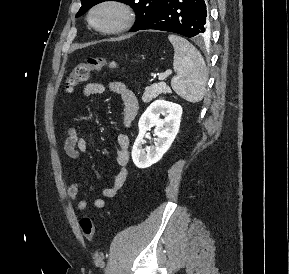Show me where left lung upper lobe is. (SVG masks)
I'll return each mask as SVG.
<instances>
[{"label": "left lung upper lobe", "mask_w": 289, "mask_h": 274, "mask_svg": "<svg viewBox=\"0 0 289 274\" xmlns=\"http://www.w3.org/2000/svg\"><path fill=\"white\" fill-rule=\"evenodd\" d=\"M106 0H81V8L76 17L83 15L92 6ZM129 4L136 13V23L132 31L146 23L158 11L165 0H117Z\"/></svg>", "instance_id": "left-lung-upper-lobe-1"}]
</instances>
